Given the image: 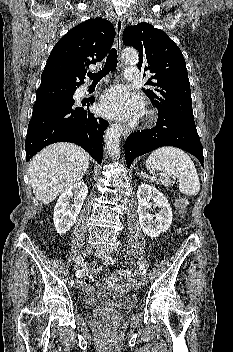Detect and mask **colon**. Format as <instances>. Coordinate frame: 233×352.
I'll return each instance as SVG.
<instances>
[{"label": "colon", "instance_id": "1", "mask_svg": "<svg viewBox=\"0 0 233 352\" xmlns=\"http://www.w3.org/2000/svg\"><path fill=\"white\" fill-rule=\"evenodd\" d=\"M187 206V200L183 197L177 200V207L181 213L185 210ZM99 266L91 264L86 268L85 271V283L89 284L99 278Z\"/></svg>", "mask_w": 233, "mask_h": 352}]
</instances>
